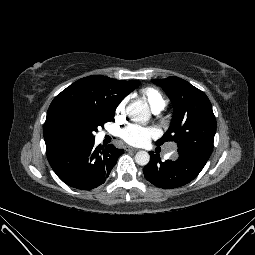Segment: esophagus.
I'll use <instances>...</instances> for the list:
<instances>
[{
	"instance_id": "1",
	"label": "esophagus",
	"mask_w": 255,
	"mask_h": 255,
	"mask_svg": "<svg viewBox=\"0 0 255 255\" xmlns=\"http://www.w3.org/2000/svg\"><path fill=\"white\" fill-rule=\"evenodd\" d=\"M125 150H126V151H131V152H136V151H138V149L132 148V147H130V146H126V147H125Z\"/></svg>"
}]
</instances>
